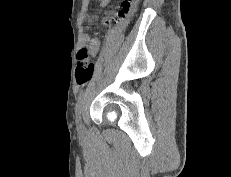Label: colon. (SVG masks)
<instances>
[{
	"instance_id": "obj_1",
	"label": "colon",
	"mask_w": 231,
	"mask_h": 177,
	"mask_svg": "<svg viewBox=\"0 0 231 177\" xmlns=\"http://www.w3.org/2000/svg\"><path fill=\"white\" fill-rule=\"evenodd\" d=\"M137 3V0H125L122 5V10L119 12V17H124L131 13ZM114 19L107 20L111 23ZM95 64L86 47L81 48L77 53V65L75 70V79L79 85H84L90 82L93 78Z\"/></svg>"
}]
</instances>
